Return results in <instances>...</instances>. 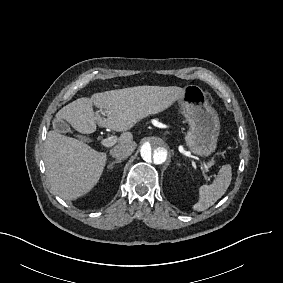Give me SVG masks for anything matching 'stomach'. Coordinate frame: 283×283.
Instances as JSON below:
<instances>
[{
	"mask_svg": "<svg viewBox=\"0 0 283 283\" xmlns=\"http://www.w3.org/2000/svg\"><path fill=\"white\" fill-rule=\"evenodd\" d=\"M180 99V112L189 124L185 136L189 149L200 156L215 151L220 130L218 114L209 104L206 93L197 85H187Z\"/></svg>",
	"mask_w": 283,
	"mask_h": 283,
	"instance_id": "stomach-1",
	"label": "stomach"
}]
</instances>
